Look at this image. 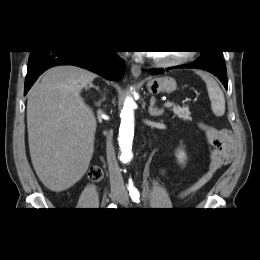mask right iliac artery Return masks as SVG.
I'll return each instance as SVG.
<instances>
[{
  "label": "right iliac artery",
  "mask_w": 260,
  "mask_h": 260,
  "mask_svg": "<svg viewBox=\"0 0 260 260\" xmlns=\"http://www.w3.org/2000/svg\"><path fill=\"white\" fill-rule=\"evenodd\" d=\"M108 208H109V209H114V208H116V204H111V205H109Z\"/></svg>",
  "instance_id": "82829eb1"
}]
</instances>
